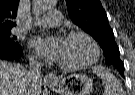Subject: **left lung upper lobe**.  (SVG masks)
Returning <instances> with one entry per match:
<instances>
[{
	"label": "left lung upper lobe",
	"instance_id": "5c2ea615",
	"mask_svg": "<svg viewBox=\"0 0 135 95\" xmlns=\"http://www.w3.org/2000/svg\"><path fill=\"white\" fill-rule=\"evenodd\" d=\"M71 20L89 33L103 49L106 63L124 68L119 48L100 0H66Z\"/></svg>",
	"mask_w": 135,
	"mask_h": 95
}]
</instances>
